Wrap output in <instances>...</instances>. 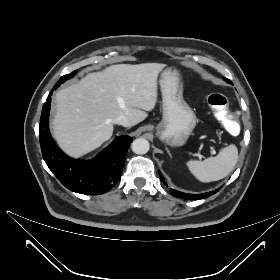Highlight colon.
Masks as SVG:
<instances>
[{
    "mask_svg": "<svg viewBox=\"0 0 280 280\" xmlns=\"http://www.w3.org/2000/svg\"><path fill=\"white\" fill-rule=\"evenodd\" d=\"M207 103L213 111L215 117L222 121L228 132L233 133L236 136L243 133V126L236 122L231 116L225 96L220 93H211L207 97Z\"/></svg>",
    "mask_w": 280,
    "mask_h": 280,
    "instance_id": "1",
    "label": "colon"
}]
</instances>
